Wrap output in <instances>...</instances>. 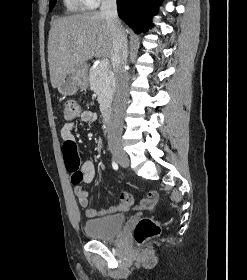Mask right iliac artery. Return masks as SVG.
I'll use <instances>...</instances> for the list:
<instances>
[{"instance_id":"obj_1","label":"right iliac artery","mask_w":247,"mask_h":280,"mask_svg":"<svg viewBox=\"0 0 247 280\" xmlns=\"http://www.w3.org/2000/svg\"><path fill=\"white\" fill-rule=\"evenodd\" d=\"M112 167L114 170L118 169V164L115 161H112Z\"/></svg>"}]
</instances>
